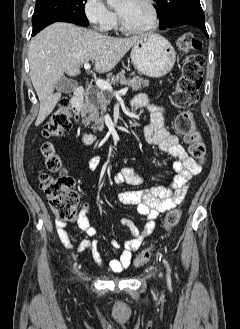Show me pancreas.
I'll return each mask as SVG.
<instances>
[{"instance_id":"1","label":"pancreas","mask_w":240,"mask_h":329,"mask_svg":"<svg viewBox=\"0 0 240 329\" xmlns=\"http://www.w3.org/2000/svg\"><path fill=\"white\" fill-rule=\"evenodd\" d=\"M118 82L121 85L130 86L133 91H138L139 89L149 86V80L139 76L126 78L123 72L111 77L110 84H116ZM110 101L111 96L101 91L98 87L88 89L86 92L85 104L82 107V113L85 115L83 122L87 125L94 122L91 126L94 131L103 130L104 113Z\"/></svg>"}]
</instances>
